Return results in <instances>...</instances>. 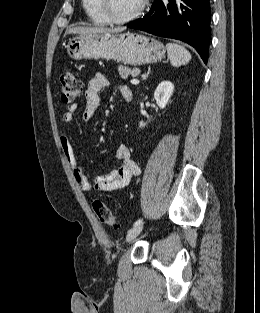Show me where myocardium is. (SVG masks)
<instances>
[{"instance_id": "f54148a6", "label": "myocardium", "mask_w": 260, "mask_h": 313, "mask_svg": "<svg viewBox=\"0 0 260 313\" xmlns=\"http://www.w3.org/2000/svg\"><path fill=\"white\" fill-rule=\"evenodd\" d=\"M148 0H141L138 8L128 16L116 17L111 11V1L110 0H98V7L109 23L113 24H125L137 19L144 11Z\"/></svg>"}]
</instances>
